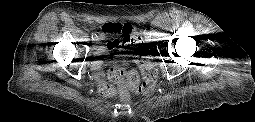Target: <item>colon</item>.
<instances>
[{
	"mask_svg": "<svg viewBox=\"0 0 255 122\" xmlns=\"http://www.w3.org/2000/svg\"><path fill=\"white\" fill-rule=\"evenodd\" d=\"M102 29L105 33L125 35L129 39V45H133L138 50L142 46L141 37L139 34L133 33V28L128 23H107L103 25ZM141 63L142 81H140L135 70L113 67L108 73V78L116 84L117 90L124 100L128 99L131 91L140 95H147L156 86L157 70L155 66L145 59H142ZM100 91L104 95H111L115 92L114 88L107 83H101Z\"/></svg>",
	"mask_w": 255,
	"mask_h": 122,
	"instance_id": "5ec220e1",
	"label": "colon"
}]
</instances>
